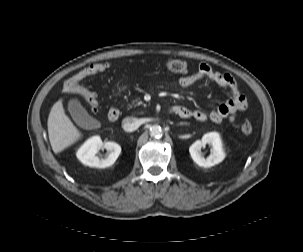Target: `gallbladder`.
Masks as SVG:
<instances>
[{
  "mask_svg": "<svg viewBox=\"0 0 303 252\" xmlns=\"http://www.w3.org/2000/svg\"><path fill=\"white\" fill-rule=\"evenodd\" d=\"M68 110L75 123L81 128H87L92 122V117L88 114L77 98L69 100Z\"/></svg>",
  "mask_w": 303,
  "mask_h": 252,
  "instance_id": "bac80fb5",
  "label": "gallbladder"
}]
</instances>
